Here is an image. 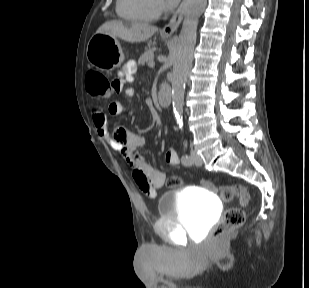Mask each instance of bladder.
<instances>
[{
  "label": "bladder",
  "mask_w": 309,
  "mask_h": 288,
  "mask_svg": "<svg viewBox=\"0 0 309 288\" xmlns=\"http://www.w3.org/2000/svg\"><path fill=\"white\" fill-rule=\"evenodd\" d=\"M160 218H175L192 234H202L220 211V202L209 191L198 188L164 192L157 200Z\"/></svg>",
  "instance_id": "31cf9c89"
}]
</instances>
